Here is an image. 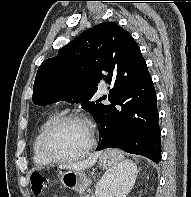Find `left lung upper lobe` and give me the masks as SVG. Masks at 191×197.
Wrapping results in <instances>:
<instances>
[{"instance_id":"obj_1","label":"left lung upper lobe","mask_w":191,"mask_h":197,"mask_svg":"<svg viewBox=\"0 0 191 197\" xmlns=\"http://www.w3.org/2000/svg\"><path fill=\"white\" fill-rule=\"evenodd\" d=\"M144 67L146 62L132 36L114 22L100 23L40 65L32 101L41 106L62 100L82 103L96 118L104 105L91 98L103 72H108L106 79L111 83L115 75Z\"/></svg>"}]
</instances>
